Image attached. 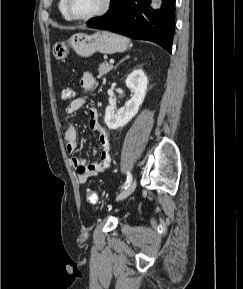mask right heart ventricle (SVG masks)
Masks as SVG:
<instances>
[{
    "label": "right heart ventricle",
    "mask_w": 243,
    "mask_h": 289,
    "mask_svg": "<svg viewBox=\"0 0 243 289\" xmlns=\"http://www.w3.org/2000/svg\"><path fill=\"white\" fill-rule=\"evenodd\" d=\"M58 9H59V12L61 13L62 17H63L65 20H71V19L69 18V16L67 15V13H66L65 0H59V2H58Z\"/></svg>",
    "instance_id": "obj_1"
}]
</instances>
